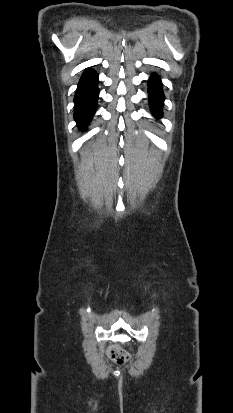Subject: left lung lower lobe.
Listing matches in <instances>:
<instances>
[{
  "instance_id": "1",
  "label": "left lung lower lobe",
  "mask_w": 233,
  "mask_h": 413,
  "mask_svg": "<svg viewBox=\"0 0 233 413\" xmlns=\"http://www.w3.org/2000/svg\"><path fill=\"white\" fill-rule=\"evenodd\" d=\"M149 103L152 114L160 118L162 116V106L164 102V94L162 91V84L160 77L153 74L148 82Z\"/></svg>"
}]
</instances>
